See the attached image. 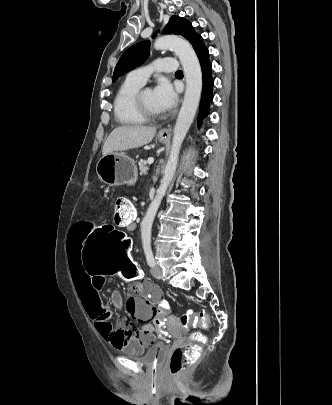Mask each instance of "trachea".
I'll use <instances>...</instances> for the list:
<instances>
[{"instance_id":"1","label":"trachea","mask_w":332,"mask_h":405,"mask_svg":"<svg viewBox=\"0 0 332 405\" xmlns=\"http://www.w3.org/2000/svg\"><path fill=\"white\" fill-rule=\"evenodd\" d=\"M176 74H182V71L181 70H178L177 72H176Z\"/></svg>"}]
</instances>
